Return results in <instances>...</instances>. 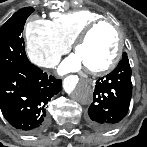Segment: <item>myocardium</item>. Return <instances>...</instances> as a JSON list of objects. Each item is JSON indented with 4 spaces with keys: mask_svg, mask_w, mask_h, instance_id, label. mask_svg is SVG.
Masks as SVG:
<instances>
[{
    "mask_svg": "<svg viewBox=\"0 0 147 147\" xmlns=\"http://www.w3.org/2000/svg\"><path fill=\"white\" fill-rule=\"evenodd\" d=\"M102 25H109L116 31L117 36H118V43H117V48L115 50L114 56L107 65L101 68H98V69H91V68L87 69V72L93 76L104 75L110 72L111 70H113L117 66L122 56V51H123V38L120 32V29L108 19L95 20L91 22L90 24H88L85 28H83L81 32L76 36L74 41L72 42V49L75 53L78 47L87 40L91 32L97 27L102 26Z\"/></svg>",
    "mask_w": 147,
    "mask_h": 147,
    "instance_id": "1",
    "label": "myocardium"
}]
</instances>
